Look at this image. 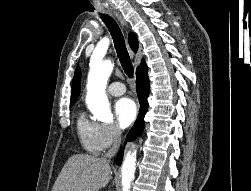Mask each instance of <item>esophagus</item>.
Returning <instances> with one entry per match:
<instances>
[{
  "label": "esophagus",
  "instance_id": "34e87169",
  "mask_svg": "<svg viewBox=\"0 0 251 191\" xmlns=\"http://www.w3.org/2000/svg\"><path fill=\"white\" fill-rule=\"evenodd\" d=\"M113 15H115L117 17V19L119 20V22L121 23V25H123V26L126 25V22L122 19V17L118 13L114 12ZM131 54L133 56L132 52H131Z\"/></svg>",
  "mask_w": 251,
  "mask_h": 191
}]
</instances>
